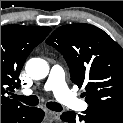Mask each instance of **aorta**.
<instances>
[{
    "mask_svg": "<svg viewBox=\"0 0 123 123\" xmlns=\"http://www.w3.org/2000/svg\"><path fill=\"white\" fill-rule=\"evenodd\" d=\"M25 70L30 78L40 80L48 75L49 65L44 59L31 58L27 61Z\"/></svg>",
    "mask_w": 123,
    "mask_h": 123,
    "instance_id": "aorta-1",
    "label": "aorta"
}]
</instances>
